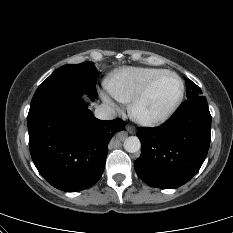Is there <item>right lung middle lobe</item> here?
<instances>
[{"mask_svg": "<svg viewBox=\"0 0 233 233\" xmlns=\"http://www.w3.org/2000/svg\"><path fill=\"white\" fill-rule=\"evenodd\" d=\"M99 71L93 62L64 65L55 70L36 90L31 104L57 94L85 93L97 97L96 79Z\"/></svg>", "mask_w": 233, "mask_h": 233, "instance_id": "1", "label": "right lung middle lobe"}]
</instances>
